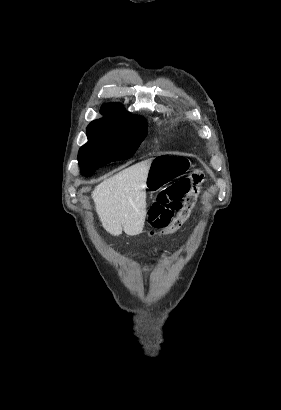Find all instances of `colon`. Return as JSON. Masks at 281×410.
I'll list each match as a JSON object with an SVG mask.
<instances>
[{"label":"colon","mask_w":281,"mask_h":410,"mask_svg":"<svg viewBox=\"0 0 281 410\" xmlns=\"http://www.w3.org/2000/svg\"><path fill=\"white\" fill-rule=\"evenodd\" d=\"M204 179L203 171L196 170L158 194L149 210V221L154 228L152 235L171 233L181 227L190 216Z\"/></svg>","instance_id":"5ec220e1"}]
</instances>
